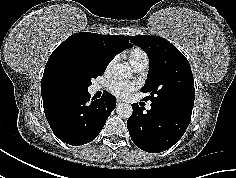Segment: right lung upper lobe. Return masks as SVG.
Returning a JSON list of instances; mask_svg holds the SVG:
<instances>
[{"label":"right lung upper lobe","mask_w":236,"mask_h":178,"mask_svg":"<svg viewBox=\"0 0 236 178\" xmlns=\"http://www.w3.org/2000/svg\"><path fill=\"white\" fill-rule=\"evenodd\" d=\"M131 47L128 36H104L96 33H75L62 42L50 55L41 81L42 98L49 97L46 85L52 70L65 58L85 55L109 62L121 51Z\"/></svg>","instance_id":"1"}]
</instances>
